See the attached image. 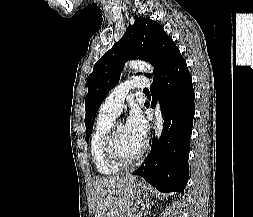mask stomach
Here are the masks:
<instances>
[{
	"mask_svg": "<svg viewBox=\"0 0 253 217\" xmlns=\"http://www.w3.org/2000/svg\"><path fill=\"white\" fill-rule=\"evenodd\" d=\"M135 192L137 195H147L148 194V188L147 186L142 183V182H138L135 184Z\"/></svg>",
	"mask_w": 253,
	"mask_h": 217,
	"instance_id": "obj_1",
	"label": "stomach"
}]
</instances>
